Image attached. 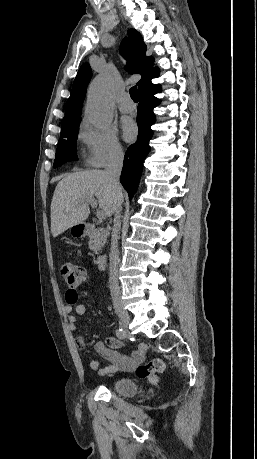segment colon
I'll return each instance as SVG.
<instances>
[{"label": "colon", "mask_w": 257, "mask_h": 459, "mask_svg": "<svg viewBox=\"0 0 257 459\" xmlns=\"http://www.w3.org/2000/svg\"><path fill=\"white\" fill-rule=\"evenodd\" d=\"M61 276L64 281L72 287H76L86 280V273L83 268L65 263L61 267ZM166 370V363L160 358H154L136 368V375L140 379H146L151 384L158 382L160 374Z\"/></svg>", "instance_id": "obj_1"}]
</instances>
